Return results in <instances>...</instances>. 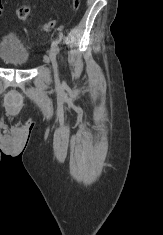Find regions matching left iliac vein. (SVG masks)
I'll return each instance as SVG.
<instances>
[{"label": "left iliac vein", "mask_w": 163, "mask_h": 235, "mask_svg": "<svg viewBox=\"0 0 163 235\" xmlns=\"http://www.w3.org/2000/svg\"><path fill=\"white\" fill-rule=\"evenodd\" d=\"M49 58L54 70L55 79L58 80V69H57V60H56V50L54 47H51L49 50Z\"/></svg>", "instance_id": "1"}]
</instances>
